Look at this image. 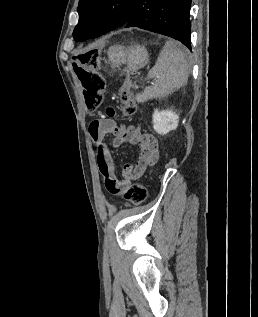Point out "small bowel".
Segmentation results:
<instances>
[{"label":"small bowel","mask_w":258,"mask_h":317,"mask_svg":"<svg viewBox=\"0 0 258 317\" xmlns=\"http://www.w3.org/2000/svg\"><path fill=\"white\" fill-rule=\"evenodd\" d=\"M89 134L97 150L99 173L105 188L111 194H122L132 180L140 178L158 160L157 139L151 134L142 133L140 125H118L111 119L101 118L90 123ZM107 136H114L112 144L115 148L125 144L140 146L137 161L123 167L121 179L115 173L113 157L105 141Z\"/></svg>","instance_id":"c3829d8e"}]
</instances>
